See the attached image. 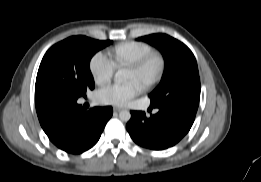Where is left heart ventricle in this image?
Wrapping results in <instances>:
<instances>
[{"label":"left heart ventricle","mask_w":261,"mask_h":182,"mask_svg":"<svg viewBox=\"0 0 261 182\" xmlns=\"http://www.w3.org/2000/svg\"><path fill=\"white\" fill-rule=\"evenodd\" d=\"M154 69H155V65L154 64L148 65L144 70H142L140 72H136V71L127 69L125 81H127V82H129V81H137L138 83H140L143 86L144 82L154 72Z\"/></svg>","instance_id":"b2bd125f"}]
</instances>
